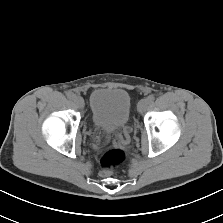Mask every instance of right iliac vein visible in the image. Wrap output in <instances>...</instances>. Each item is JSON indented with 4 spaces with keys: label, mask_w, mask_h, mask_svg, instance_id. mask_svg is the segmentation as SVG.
<instances>
[{
    "label": "right iliac vein",
    "mask_w": 223,
    "mask_h": 223,
    "mask_svg": "<svg viewBox=\"0 0 223 223\" xmlns=\"http://www.w3.org/2000/svg\"><path fill=\"white\" fill-rule=\"evenodd\" d=\"M73 101L74 104L79 108H82L84 106V100L81 96H75Z\"/></svg>",
    "instance_id": "63e3f726"
}]
</instances>
